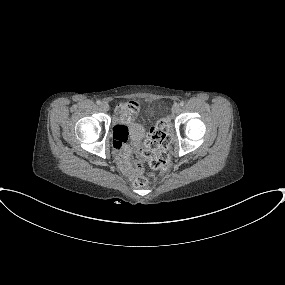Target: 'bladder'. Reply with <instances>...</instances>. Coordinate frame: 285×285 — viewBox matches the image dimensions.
<instances>
[{
    "label": "bladder",
    "instance_id": "1",
    "mask_svg": "<svg viewBox=\"0 0 285 285\" xmlns=\"http://www.w3.org/2000/svg\"><path fill=\"white\" fill-rule=\"evenodd\" d=\"M150 113L152 115H155V116H159L160 115V109L157 108L156 106L152 105L151 108H150ZM140 131H141V128H140V125L137 123V122H130V135L131 137H136L140 134Z\"/></svg>",
    "mask_w": 285,
    "mask_h": 285
}]
</instances>
